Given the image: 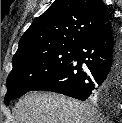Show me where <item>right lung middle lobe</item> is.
I'll use <instances>...</instances> for the list:
<instances>
[{
	"label": "right lung middle lobe",
	"mask_w": 122,
	"mask_h": 123,
	"mask_svg": "<svg viewBox=\"0 0 122 123\" xmlns=\"http://www.w3.org/2000/svg\"><path fill=\"white\" fill-rule=\"evenodd\" d=\"M77 49H63L34 55L13 62L7 78L5 104L21 97L68 65Z\"/></svg>",
	"instance_id": "right-lung-middle-lobe-1"
}]
</instances>
